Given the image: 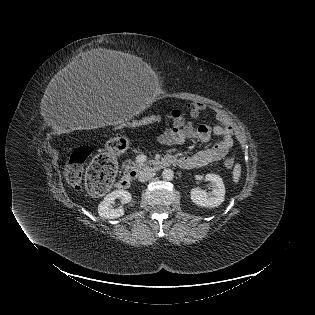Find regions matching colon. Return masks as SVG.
I'll return each instance as SVG.
<instances>
[{"label": "colon", "mask_w": 315, "mask_h": 315, "mask_svg": "<svg viewBox=\"0 0 315 315\" xmlns=\"http://www.w3.org/2000/svg\"><path fill=\"white\" fill-rule=\"evenodd\" d=\"M158 117L151 116L140 120L137 126H145L158 121ZM91 155L89 147L80 146L73 150L65 168L67 182L75 189H80L83 183L84 165ZM225 167L233 168L235 160L228 158L224 162ZM116 174V164L112 157L99 155L89 165L85 174L84 185L94 195H103L111 186Z\"/></svg>", "instance_id": "obj_1"}]
</instances>
